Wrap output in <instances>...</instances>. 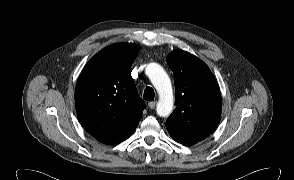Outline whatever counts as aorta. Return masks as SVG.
I'll list each match as a JSON object with an SVG mask.
<instances>
[{
  "label": "aorta",
  "instance_id": "1",
  "mask_svg": "<svg viewBox=\"0 0 294 180\" xmlns=\"http://www.w3.org/2000/svg\"><path fill=\"white\" fill-rule=\"evenodd\" d=\"M146 73L159 94L156 111L159 116L167 117L173 110V92L169 76L157 63H150Z\"/></svg>",
  "mask_w": 294,
  "mask_h": 180
}]
</instances>
